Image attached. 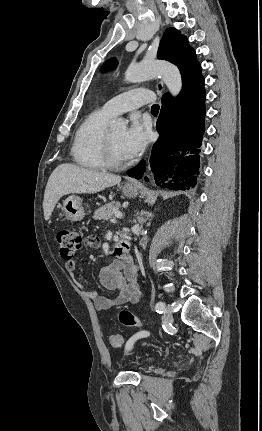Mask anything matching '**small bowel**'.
I'll return each instance as SVG.
<instances>
[{
  "label": "small bowel",
  "mask_w": 262,
  "mask_h": 431,
  "mask_svg": "<svg viewBox=\"0 0 262 431\" xmlns=\"http://www.w3.org/2000/svg\"><path fill=\"white\" fill-rule=\"evenodd\" d=\"M66 270L74 277L76 270L75 261H67L65 263ZM99 281L105 291L115 293L112 298H107L100 295L86 285L76 281V286L91 299L95 307L101 311H109L116 306L125 303H137L141 295V288L138 282V270L131 256L117 257L113 259L99 274ZM143 331L137 332L130 338V342L134 343L140 337Z\"/></svg>",
  "instance_id": "1"
}]
</instances>
